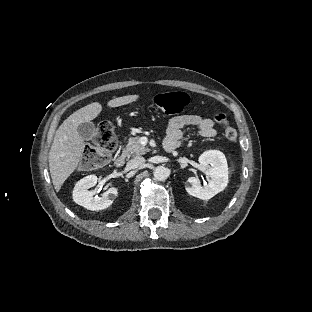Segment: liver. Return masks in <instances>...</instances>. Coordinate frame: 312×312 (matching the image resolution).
<instances>
[{
	"label": "liver",
	"mask_w": 312,
	"mask_h": 312,
	"mask_svg": "<svg viewBox=\"0 0 312 312\" xmlns=\"http://www.w3.org/2000/svg\"><path fill=\"white\" fill-rule=\"evenodd\" d=\"M140 95H125L107 102L108 108L122 107L140 99ZM103 111L99 102H92L67 117L55 133L49 152L48 164L54 189L59 193L70 175L77 169L85 149V141L77 128L84 122H92Z\"/></svg>",
	"instance_id": "obj_1"
}]
</instances>
